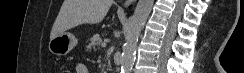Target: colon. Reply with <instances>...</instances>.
<instances>
[{
	"mask_svg": "<svg viewBox=\"0 0 244 73\" xmlns=\"http://www.w3.org/2000/svg\"><path fill=\"white\" fill-rule=\"evenodd\" d=\"M63 73H69L67 70H65Z\"/></svg>",
	"mask_w": 244,
	"mask_h": 73,
	"instance_id": "colon-1",
	"label": "colon"
}]
</instances>
